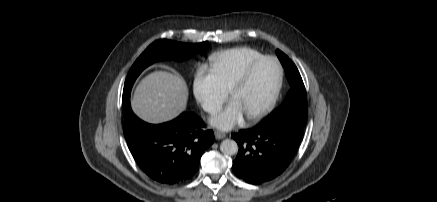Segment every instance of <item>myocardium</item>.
<instances>
[{
    "mask_svg": "<svg viewBox=\"0 0 437 202\" xmlns=\"http://www.w3.org/2000/svg\"><path fill=\"white\" fill-rule=\"evenodd\" d=\"M269 60L274 61L278 67V77L276 83L274 85L273 91L267 103L259 111L248 116L247 117L248 122H256L264 118L275 106L283 83L284 71H283L282 64L276 57L270 55L262 56L258 59H255L246 67V69L243 71V73L235 81V83L232 85V87L229 90V95L230 97H232L236 91H238L239 89H241L243 86L247 84V82L250 80L257 66L262 62L269 61Z\"/></svg>",
    "mask_w": 437,
    "mask_h": 202,
    "instance_id": "f54148a6",
    "label": "myocardium"
}]
</instances>
